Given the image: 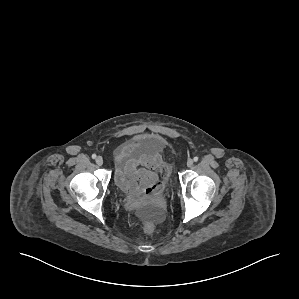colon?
I'll list each match as a JSON object with an SVG mask.
<instances>
[{"mask_svg":"<svg viewBox=\"0 0 299 299\" xmlns=\"http://www.w3.org/2000/svg\"><path fill=\"white\" fill-rule=\"evenodd\" d=\"M144 231L148 234H152L155 231V226L152 223H147L144 227Z\"/></svg>","mask_w":299,"mask_h":299,"instance_id":"obj_1","label":"colon"}]
</instances>
